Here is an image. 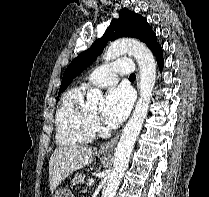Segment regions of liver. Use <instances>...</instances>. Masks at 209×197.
Listing matches in <instances>:
<instances>
[{
    "mask_svg": "<svg viewBox=\"0 0 209 197\" xmlns=\"http://www.w3.org/2000/svg\"><path fill=\"white\" fill-rule=\"evenodd\" d=\"M92 162V147L87 145L59 146L49 160V182L53 193L72 172Z\"/></svg>",
    "mask_w": 209,
    "mask_h": 197,
    "instance_id": "6515ba94",
    "label": "liver"
}]
</instances>
